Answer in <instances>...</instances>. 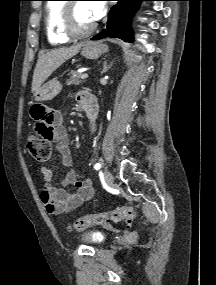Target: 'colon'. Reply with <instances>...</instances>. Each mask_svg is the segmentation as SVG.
Returning a JSON list of instances; mask_svg holds the SVG:
<instances>
[{
  "label": "colon",
  "instance_id": "1",
  "mask_svg": "<svg viewBox=\"0 0 216 285\" xmlns=\"http://www.w3.org/2000/svg\"><path fill=\"white\" fill-rule=\"evenodd\" d=\"M27 149L29 154L38 161H47L51 155L50 141H42V136H36L35 133L28 137ZM134 219V209L125 204L107 212L82 216L70 226L69 230L80 232L90 226L101 225L110 221H122L131 225Z\"/></svg>",
  "mask_w": 216,
  "mask_h": 285
}]
</instances>
